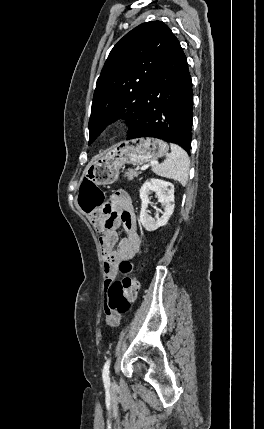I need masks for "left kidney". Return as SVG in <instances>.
<instances>
[{
	"mask_svg": "<svg viewBox=\"0 0 264 429\" xmlns=\"http://www.w3.org/2000/svg\"><path fill=\"white\" fill-rule=\"evenodd\" d=\"M155 192L158 201L164 205V213L161 217L158 214L153 218L147 213L149 194ZM142 201L139 221L147 231H155L167 224L174 211V186L170 182L151 178L145 181L140 189Z\"/></svg>",
	"mask_w": 264,
	"mask_h": 429,
	"instance_id": "5707ae66",
	"label": "left kidney"
}]
</instances>
